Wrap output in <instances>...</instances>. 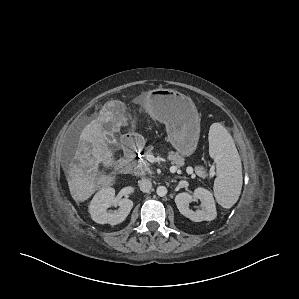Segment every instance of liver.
Listing matches in <instances>:
<instances>
[{
    "instance_id": "1",
    "label": "liver",
    "mask_w": 299,
    "mask_h": 299,
    "mask_svg": "<svg viewBox=\"0 0 299 299\" xmlns=\"http://www.w3.org/2000/svg\"><path fill=\"white\" fill-rule=\"evenodd\" d=\"M122 106L120 101L107 102L99 115L81 132L79 145L66 177L70 194L77 203L86 201L97 189L110 186L115 180L110 175L98 174L100 164L107 168L115 165L113 152L102 134V125L110 122L117 130L127 125Z\"/></svg>"
}]
</instances>
